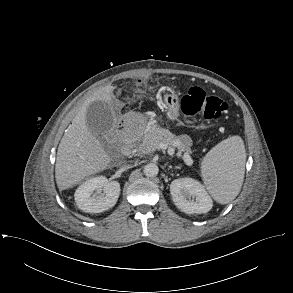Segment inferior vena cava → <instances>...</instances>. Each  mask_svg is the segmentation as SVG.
I'll return each instance as SVG.
<instances>
[{"label": "inferior vena cava", "instance_id": "1", "mask_svg": "<svg viewBox=\"0 0 293 293\" xmlns=\"http://www.w3.org/2000/svg\"><path fill=\"white\" fill-rule=\"evenodd\" d=\"M129 168H131V166L130 165H123L122 167H121V171H125V170H127V169H129Z\"/></svg>", "mask_w": 293, "mask_h": 293}]
</instances>
